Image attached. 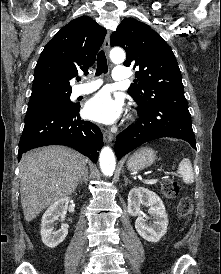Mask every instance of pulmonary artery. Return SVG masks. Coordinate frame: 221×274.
I'll return each mask as SVG.
<instances>
[{"label":"pulmonary artery","instance_id":"1","mask_svg":"<svg viewBox=\"0 0 221 274\" xmlns=\"http://www.w3.org/2000/svg\"><path fill=\"white\" fill-rule=\"evenodd\" d=\"M113 79L115 81H126L129 78V72L127 68L122 67V66H117L113 70ZM102 82L100 80H94L91 81L87 84L77 86L74 89V96H81V95H86L89 93L94 92L101 86Z\"/></svg>","mask_w":221,"mask_h":274}]
</instances>
